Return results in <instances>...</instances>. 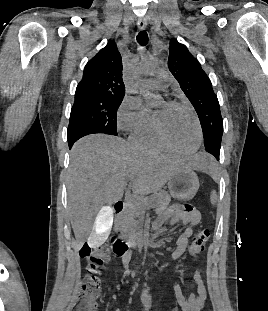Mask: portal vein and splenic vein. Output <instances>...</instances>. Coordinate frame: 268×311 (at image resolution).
<instances>
[{
  "label": "portal vein and splenic vein",
  "mask_w": 268,
  "mask_h": 311,
  "mask_svg": "<svg viewBox=\"0 0 268 311\" xmlns=\"http://www.w3.org/2000/svg\"><path fill=\"white\" fill-rule=\"evenodd\" d=\"M133 180H134V177L127 178V181H133Z\"/></svg>",
  "instance_id": "18ae733b"
}]
</instances>
